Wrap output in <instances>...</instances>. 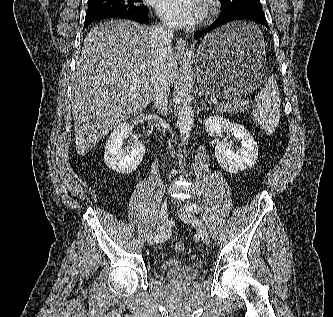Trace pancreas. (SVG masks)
<instances>
[{
	"label": "pancreas",
	"mask_w": 333,
	"mask_h": 317,
	"mask_svg": "<svg viewBox=\"0 0 333 317\" xmlns=\"http://www.w3.org/2000/svg\"><path fill=\"white\" fill-rule=\"evenodd\" d=\"M245 105L239 102H234L230 104H217V110L221 112H234L244 109Z\"/></svg>",
	"instance_id": "obj_1"
}]
</instances>
